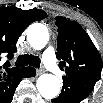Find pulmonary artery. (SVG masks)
I'll use <instances>...</instances> for the list:
<instances>
[{"label":"pulmonary artery","mask_w":103,"mask_h":103,"mask_svg":"<svg viewBox=\"0 0 103 103\" xmlns=\"http://www.w3.org/2000/svg\"><path fill=\"white\" fill-rule=\"evenodd\" d=\"M43 60L46 67L54 74L61 75L62 71L58 67L55 59L54 50L52 47H47L43 53Z\"/></svg>","instance_id":"pulmonary-artery-1"}]
</instances>
